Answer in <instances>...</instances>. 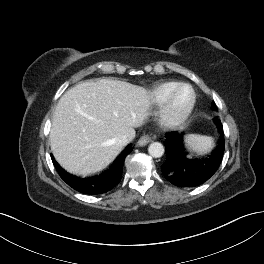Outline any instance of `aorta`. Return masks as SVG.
Segmentation results:
<instances>
[{
	"instance_id": "obj_1",
	"label": "aorta",
	"mask_w": 264,
	"mask_h": 264,
	"mask_svg": "<svg viewBox=\"0 0 264 264\" xmlns=\"http://www.w3.org/2000/svg\"><path fill=\"white\" fill-rule=\"evenodd\" d=\"M164 151V146L160 142H153L148 147V153L154 158L162 157Z\"/></svg>"
}]
</instances>
